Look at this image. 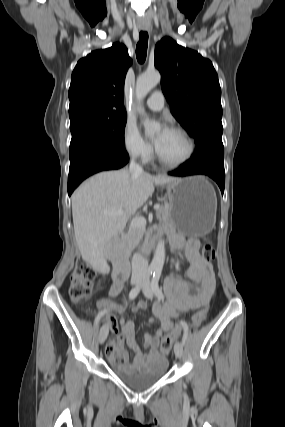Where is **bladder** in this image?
Listing matches in <instances>:
<instances>
[{"label":"bladder","instance_id":"bladder-1","mask_svg":"<svg viewBox=\"0 0 285 427\" xmlns=\"http://www.w3.org/2000/svg\"><path fill=\"white\" fill-rule=\"evenodd\" d=\"M167 362L149 371L132 372L124 367H115V374L129 387L135 390H144L153 386L165 374Z\"/></svg>","mask_w":285,"mask_h":427}]
</instances>
